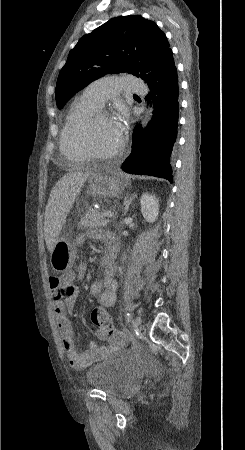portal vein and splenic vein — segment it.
I'll return each mask as SVG.
<instances>
[{"label":"portal vein and splenic vein","instance_id":"obj_1","mask_svg":"<svg viewBox=\"0 0 245 450\" xmlns=\"http://www.w3.org/2000/svg\"><path fill=\"white\" fill-rule=\"evenodd\" d=\"M104 217H108V218H112L113 217V213L110 211H104L103 213Z\"/></svg>","mask_w":245,"mask_h":450}]
</instances>
